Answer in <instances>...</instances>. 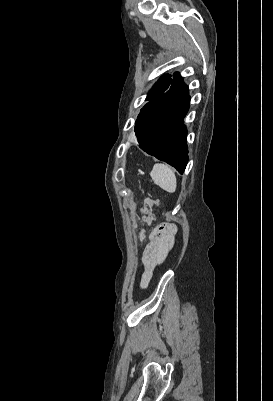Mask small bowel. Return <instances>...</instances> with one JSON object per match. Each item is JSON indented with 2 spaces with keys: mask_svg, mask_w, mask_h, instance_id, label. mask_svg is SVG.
<instances>
[{
  "mask_svg": "<svg viewBox=\"0 0 273 401\" xmlns=\"http://www.w3.org/2000/svg\"><path fill=\"white\" fill-rule=\"evenodd\" d=\"M139 221L141 223L150 224L152 223L153 218L150 215H145L141 216ZM156 229L150 233L149 243L146 246L143 254V265L145 267V271L143 272L140 280V286L142 288L148 285L152 278L153 268L166 257L172 244V241H153V232H156ZM141 238H143V236H141Z\"/></svg>",
  "mask_w": 273,
  "mask_h": 401,
  "instance_id": "c3829d8e",
  "label": "small bowel"
}]
</instances>
